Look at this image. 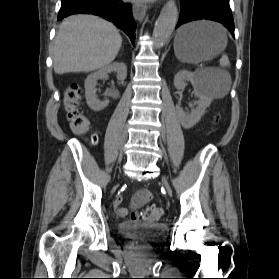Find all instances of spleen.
<instances>
[{"label":"spleen","instance_id":"spleen-1","mask_svg":"<svg viewBox=\"0 0 279 279\" xmlns=\"http://www.w3.org/2000/svg\"><path fill=\"white\" fill-rule=\"evenodd\" d=\"M221 67H227L230 65L229 59L226 56H222L219 61ZM224 80H214L207 82L204 87V92L212 98H222L226 96L231 87V77L228 73H223Z\"/></svg>","mask_w":279,"mask_h":279}]
</instances>
